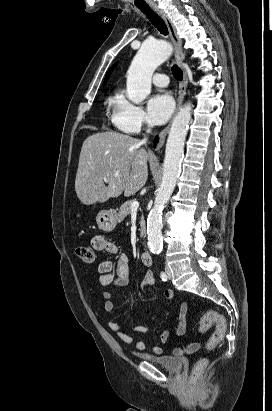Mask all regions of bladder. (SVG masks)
<instances>
[{"mask_svg": "<svg viewBox=\"0 0 272 411\" xmlns=\"http://www.w3.org/2000/svg\"><path fill=\"white\" fill-rule=\"evenodd\" d=\"M141 358L168 371H178L183 365V359L174 355L143 354Z\"/></svg>", "mask_w": 272, "mask_h": 411, "instance_id": "31cf9c89", "label": "bladder"}]
</instances>
